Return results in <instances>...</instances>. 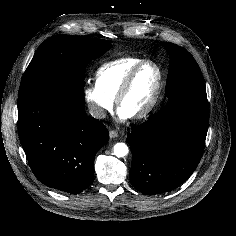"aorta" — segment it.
<instances>
[{
	"mask_svg": "<svg viewBox=\"0 0 236 236\" xmlns=\"http://www.w3.org/2000/svg\"><path fill=\"white\" fill-rule=\"evenodd\" d=\"M129 152L128 146L125 143H117L114 145V154L117 157H125Z\"/></svg>",
	"mask_w": 236,
	"mask_h": 236,
	"instance_id": "1",
	"label": "aorta"
}]
</instances>
